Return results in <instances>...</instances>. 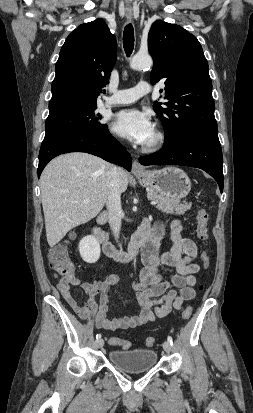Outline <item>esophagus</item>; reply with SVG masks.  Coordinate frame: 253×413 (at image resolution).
Listing matches in <instances>:
<instances>
[{
  "label": "esophagus",
  "instance_id": "esophagus-1",
  "mask_svg": "<svg viewBox=\"0 0 253 413\" xmlns=\"http://www.w3.org/2000/svg\"><path fill=\"white\" fill-rule=\"evenodd\" d=\"M133 17L132 11H127L126 12V18L128 20H131ZM144 172V168L140 165V163L137 160L133 161L132 164V173L133 174H139V173H143Z\"/></svg>",
  "mask_w": 253,
  "mask_h": 413
}]
</instances>
